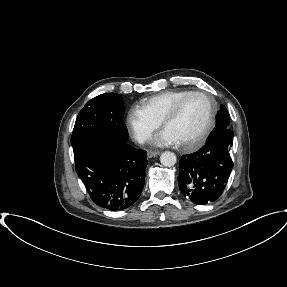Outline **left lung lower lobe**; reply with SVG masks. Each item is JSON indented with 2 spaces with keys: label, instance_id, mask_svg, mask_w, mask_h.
<instances>
[{
  "label": "left lung lower lobe",
  "instance_id": "left-lung-lower-lobe-1",
  "mask_svg": "<svg viewBox=\"0 0 287 287\" xmlns=\"http://www.w3.org/2000/svg\"><path fill=\"white\" fill-rule=\"evenodd\" d=\"M234 133L225 129L197 152L186 154L179 162L178 185L184 196L199 205L218 199L233 168L230 156Z\"/></svg>",
  "mask_w": 287,
  "mask_h": 287
}]
</instances>
